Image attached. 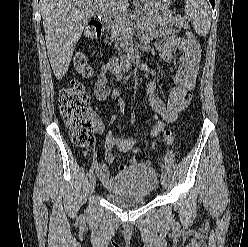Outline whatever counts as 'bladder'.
<instances>
[{"mask_svg": "<svg viewBox=\"0 0 248 247\" xmlns=\"http://www.w3.org/2000/svg\"><path fill=\"white\" fill-rule=\"evenodd\" d=\"M115 191L105 193L107 200L120 207H135L146 203L157 187L156 173L147 167H129L116 179Z\"/></svg>", "mask_w": 248, "mask_h": 247, "instance_id": "obj_1", "label": "bladder"}]
</instances>
